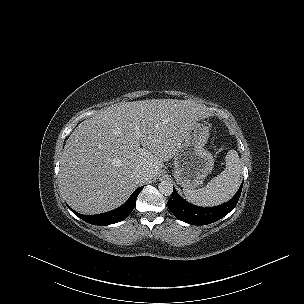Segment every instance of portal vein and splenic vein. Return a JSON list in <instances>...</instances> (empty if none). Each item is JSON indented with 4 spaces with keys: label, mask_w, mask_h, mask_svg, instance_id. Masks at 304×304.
<instances>
[{
    "label": "portal vein and splenic vein",
    "mask_w": 304,
    "mask_h": 304,
    "mask_svg": "<svg viewBox=\"0 0 304 304\" xmlns=\"http://www.w3.org/2000/svg\"><path fill=\"white\" fill-rule=\"evenodd\" d=\"M135 130H136V133H137V135H138V133H139V127L136 126V127H135Z\"/></svg>",
    "instance_id": "1"
}]
</instances>
